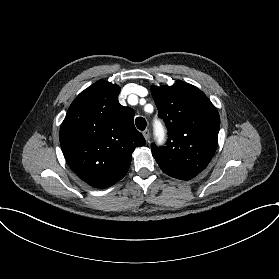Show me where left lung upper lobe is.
Wrapping results in <instances>:
<instances>
[{"label":"left lung upper lobe","mask_w":279,"mask_h":279,"mask_svg":"<svg viewBox=\"0 0 279 279\" xmlns=\"http://www.w3.org/2000/svg\"><path fill=\"white\" fill-rule=\"evenodd\" d=\"M151 93L169 134L167 146L158 149L152 144V154L164 173L190 180L214 156L220 128L218 111L203 92L183 81L152 86Z\"/></svg>","instance_id":"5c2ea615"}]
</instances>
